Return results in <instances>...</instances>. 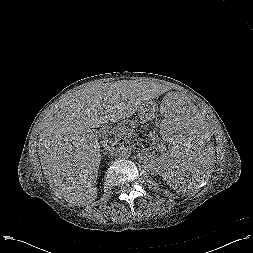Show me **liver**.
Segmentation results:
<instances>
[{"mask_svg":"<svg viewBox=\"0 0 253 253\" xmlns=\"http://www.w3.org/2000/svg\"><path fill=\"white\" fill-rule=\"evenodd\" d=\"M155 96L149 84L123 80L90 85L60 102L41 122L38 141L50 187L76 206L95 201L101 154L94 128L131 117Z\"/></svg>","mask_w":253,"mask_h":253,"instance_id":"obj_1","label":"liver"}]
</instances>
